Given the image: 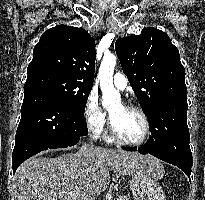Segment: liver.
<instances>
[{"mask_svg": "<svg viewBox=\"0 0 205 200\" xmlns=\"http://www.w3.org/2000/svg\"><path fill=\"white\" fill-rule=\"evenodd\" d=\"M159 161L148 155L94 147L55 158L34 157L15 174L14 200H94L110 184L109 168L119 175L149 172ZM75 193L68 196V193Z\"/></svg>", "mask_w": 205, "mask_h": 200, "instance_id": "6515ba94", "label": "liver"}]
</instances>
